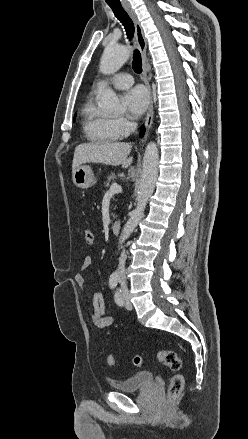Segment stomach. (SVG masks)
<instances>
[{
  "instance_id": "obj_1",
  "label": "stomach",
  "mask_w": 248,
  "mask_h": 439,
  "mask_svg": "<svg viewBox=\"0 0 248 439\" xmlns=\"http://www.w3.org/2000/svg\"><path fill=\"white\" fill-rule=\"evenodd\" d=\"M73 183L82 189H87L96 183V178L90 166L81 165L72 173Z\"/></svg>"
}]
</instances>
